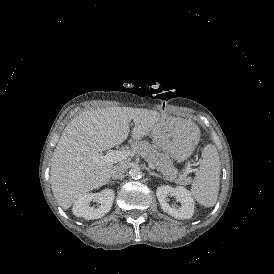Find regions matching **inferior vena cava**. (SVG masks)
<instances>
[{
  "mask_svg": "<svg viewBox=\"0 0 274 274\" xmlns=\"http://www.w3.org/2000/svg\"><path fill=\"white\" fill-rule=\"evenodd\" d=\"M126 170L127 168L124 165L122 164L116 165L114 166L112 170L111 176L113 179H120L124 175Z\"/></svg>",
  "mask_w": 274,
  "mask_h": 274,
  "instance_id": "inferior-vena-cava-1",
  "label": "inferior vena cava"
}]
</instances>
